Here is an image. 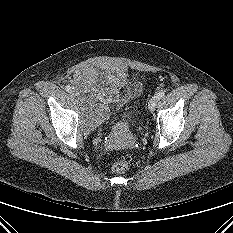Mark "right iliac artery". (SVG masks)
<instances>
[{
  "mask_svg": "<svg viewBox=\"0 0 233 233\" xmlns=\"http://www.w3.org/2000/svg\"><path fill=\"white\" fill-rule=\"evenodd\" d=\"M70 89H71L70 86L65 87V90L68 91V92L70 91Z\"/></svg>",
  "mask_w": 233,
  "mask_h": 233,
  "instance_id": "right-iliac-artery-1",
  "label": "right iliac artery"
}]
</instances>
